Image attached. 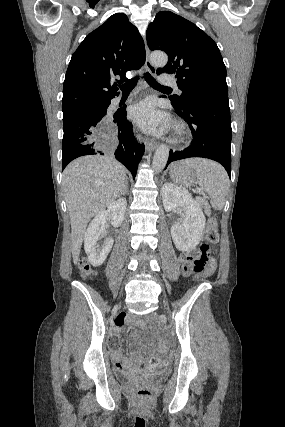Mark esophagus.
<instances>
[{
  "instance_id": "esophagus-1",
  "label": "esophagus",
  "mask_w": 285,
  "mask_h": 427,
  "mask_svg": "<svg viewBox=\"0 0 285 427\" xmlns=\"http://www.w3.org/2000/svg\"><path fill=\"white\" fill-rule=\"evenodd\" d=\"M145 49H146L145 66L152 75H155L156 74V68H155V66L152 65V63L150 61V50L148 48L146 40H145ZM157 145H158V143L155 140L147 138L146 143H145L147 151L154 150L157 147Z\"/></svg>"
}]
</instances>
